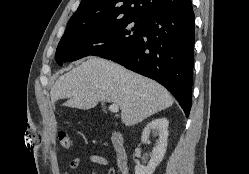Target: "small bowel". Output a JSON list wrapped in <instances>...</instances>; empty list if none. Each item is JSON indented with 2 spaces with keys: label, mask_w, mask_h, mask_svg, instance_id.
<instances>
[{
  "label": "small bowel",
  "mask_w": 249,
  "mask_h": 174,
  "mask_svg": "<svg viewBox=\"0 0 249 174\" xmlns=\"http://www.w3.org/2000/svg\"><path fill=\"white\" fill-rule=\"evenodd\" d=\"M88 161L93 163V164H98V165L108 167V174H114L113 167L110 166L109 161L104 156L90 155L88 157ZM81 162H82V158H80V157H76V158L72 159L69 162L68 171H66L65 174H69V172L76 171L78 169L79 165L81 164Z\"/></svg>",
  "instance_id": "obj_1"
}]
</instances>
